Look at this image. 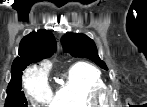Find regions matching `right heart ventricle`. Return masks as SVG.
I'll list each match as a JSON object with an SVG mask.
<instances>
[{
  "mask_svg": "<svg viewBox=\"0 0 147 107\" xmlns=\"http://www.w3.org/2000/svg\"><path fill=\"white\" fill-rule=\"evenodd\" d=\"M105 87L101 71L95 66L78 62L68 71L66 80L50 98L52 107H99L93 101L96 91Z\"/></svg>",
  "mask_w": 147,
  "mask_h": 107,
  "instance_id": "obj_1",
  "label": "right heart ventricle"
}]
</instances>
